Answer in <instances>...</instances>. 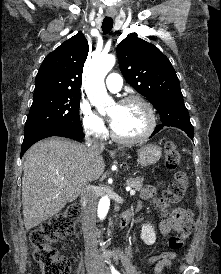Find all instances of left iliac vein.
Here are the masks:
<instances>
[{
	"instance_id": "4c4485c4",
	"label": "left iliac vein",
	"mask_w": 221,
	"mask_h": 274,
	"mask_svg": "<svg viewBox=\"0 0 221 274\" xmlns=\"http://www.w3.org/2000/svg\"><path fill=\"white\" fill-rule=\"evenodd\" d=\"M98 274H111L110 269L102 261L98 265Z\"/></svg>"
}]
</instances>
